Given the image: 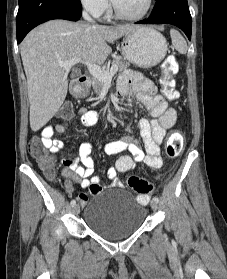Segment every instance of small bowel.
<instances>
[{"mask_svg": "<svg viewBox=\"0 0 227 279\" xmlns=\"http://www.w3.org/2000/svg\"><path fill=\"white\" fill-rule=\"evenodd\" d=\"M117 87L121 96H126L129 92H133L139 102L147 108L150 119H141L136 125V130L141 136L146 153L139 148L137 141L130 136L106 144L105 152L109 155L123 151L128 153L120 156L108 171L107 178L115 184H119L117 180L118 173L130 171L134 168L136 162H143L153 169L162 166L160 145L165 138L167 130L174 126L177 119V112L172 108H168L166 99L157 93L156 86L151 81L142 79L138 74H122L118 80ZM78 115L80 116L81 124L86 127L94 126L99 119L96 111L84 108L78 111ZM65 131L64 122L56 118L42 129L43 145L49 149L52 155H57L63 146V141L53 138V135L55 133L64 134ZM127 131H132V127L127 126ZM60 163L64 176L71 182H75L83 188L97 185L98 190L95 192L102 190L99 177L93 175L95 161L92 157L90 143H83L76 155L62 158ZM69 192L71 193L72 191L70 190ZM79 202L82 206L87 205V196L84 197L80 194Z\"/></svg>", "mask_w": 227, "mask_h": 279, "instance_id": "obj_1", "label": "small bowel"}]
</instances>
